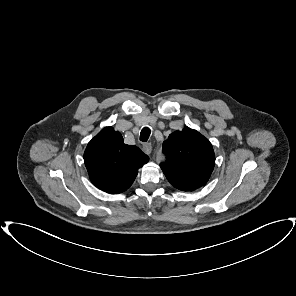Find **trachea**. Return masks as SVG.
Returning a JSON list of instances; mask_svg holds the SVG:
<instances>
[{"instance_id":"1","label":"trachea","mask_w":296,"mask_h":296,"mask_svg":"<svg viewBox=\"0 0 296 296\" xmlns=\"http://www.w3.org/2000/svg\"><path fill=\"white\" fill-rule=\"evenodd\" d=\"M150 134H151L150 128L144 127L141 130V133H140V141L147 142V140L149 139Z\"/></svg>"}]
</instances>
